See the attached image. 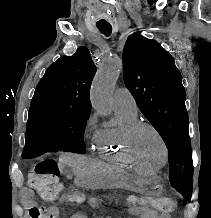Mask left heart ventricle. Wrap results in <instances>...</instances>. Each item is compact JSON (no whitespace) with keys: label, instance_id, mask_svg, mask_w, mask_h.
<instances>
[{"label":"left heart ventricle","instance_id":"b2bd125f","mask_svg":"<svg viewBox=\"0 0 211 218\" xmlns=\"http://www.w3.org/2000/svg\"><path fill=\"white\" fill-rule=\"evenodd\" d=\"M135 155L144 163H161L163 159L162 147L158 138L151 130L142 128L136 134Z\"/></svg>","mask_w":211,"mask_h":218}]
</instances>
